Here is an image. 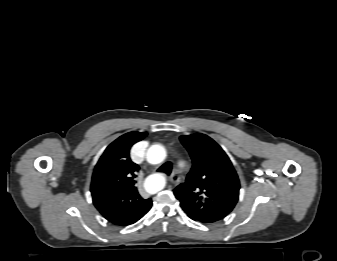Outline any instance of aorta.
<instances>
[{
    "mask_svg": "<svg viewBox=\"0 0 337 261\" xmlns=\"http://www.w3.org/2000/svg\"><path fill=\"white\" fill-rule=\"evenodd\" d=\"M147 161L150 164H159L166 158V150L160 144H154L149 147L146 154ZM164 186L163 179L158 175L149 177L146 181L145 187L149 193H156Z\"/></svg>",
    "mask_w": 337,
    "mask_h": 261,
    "instance_id": "762f6f07",
    "label": "aorta"
}]
</instances>
